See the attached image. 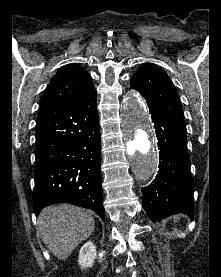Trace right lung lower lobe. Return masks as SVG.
<instances>
[{"mask_svg": "<svg viewBox=\"0 0 221 277\" xmlns=\"http://www.w3.org/2000/svg\"><path fill=\"white\" fill-rule=\"evenodd\" d=\"M96 92L63 106L40 108L35 144L34 212L51 203L93 209L104 220Z\"/></svg>", "mask_w": 221, "mask_h": 277, "instance_id": "obj_1", "label": "right lung lower lobe"}]
</instances>
